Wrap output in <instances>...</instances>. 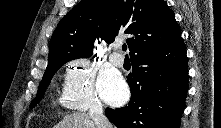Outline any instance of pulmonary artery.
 I'll return each mask as SVG.
<instances>
[{
    "label": "pulmonary artery",
    "instance_id": "obj_1",
    "mask_svg": "<svg viewBox=\"0 0 221 128\" xmlns=\"http://www.w3.org/2000/svg\"><path fill=\"white\" fill-rule=\"evenodd\" d=\"M115 48L116 51L110 55V62L116 67H122L124 64V58L119 53L120 45H116Z\"/></svg>",
    "mask_w": 221,
    "mask_h": 128
}]
</instances>
